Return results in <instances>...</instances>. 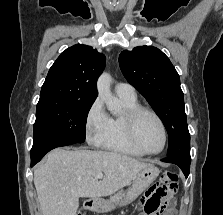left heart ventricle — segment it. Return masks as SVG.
Masks as SVG:
<instances>
[{
    "mask_svg": "<svg viewBox=\"0 0 223 215\" xmlns=\"http://www.w3.org/2000/svg\"><path fill=\"white\" fill-rule=\"evenodd\" d=\"M136 141L139 149L153 152L159 149L162 135L157 122L149 115H142L136 125Z\"/></svg>",
    "mask_w": 223,
    "mask_h": 215,
    "instance_id": "left-heart-ventricle-1",
    "label": "left heart ventricle"
}]
</instances>
